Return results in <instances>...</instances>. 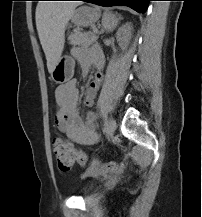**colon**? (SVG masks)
Here are the masks:
<instances>
[{"instance_id":"5ec220e1","label":"colon","mask_w":202,"mask_h":217,"mask_svg":"<svg viewBox=\"0 0 202 217\" xmlns=\"http://www.w3.org/2000/svg\"><path fill=\"white\" fill-rule=\"evenodd\" d=\"M54 155L61 171H69L74 162L77 161L81 166L87 164V157L81 151L75 149L68 141L56 139L53 147ZM123 165L118 162H108L101 166L102 172H118L122 170Z\"/></svg>"}]
</instances>
